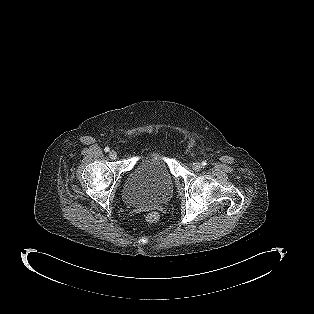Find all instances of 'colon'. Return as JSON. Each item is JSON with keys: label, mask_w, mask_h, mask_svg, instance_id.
Listing matches in <instances>:
<instances>
[{"label": "colon", "mask_w": 314, "mask_h": 314, "mask_svg": "<svg viewBox=\"0 0 314 314\" xmlns=\"http://www.w3.org/2000/svg\"><path fill=\"white\" fill-rule=\"evenodd\" d=\"M158 219H159V216H158V214L155 213V212L148 213V214L145 216V221H146L147 223H150V224L156 223V222L158 221Z\"/></svg>", "instance_id": "colon-1"}]
</instances>
